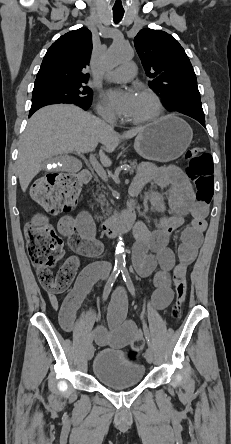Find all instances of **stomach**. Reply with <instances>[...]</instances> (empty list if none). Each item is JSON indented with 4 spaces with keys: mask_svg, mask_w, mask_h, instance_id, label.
<instances>
[{
    "mask_svg": "<svg viewBox=\"0 0 231 444\" xmlns=\"http://www.w3.org/2000/svg\"><path fill=\"white\" fill-rule=\"evenodd\" d=\"M192 137V129L183 119L168 115L145 126L135 138L134 149L145 159L169 162L187 150Z\"/></svg>",
    "mask_w": 231,
    "mask_h": 444,
    "instance_id": "obj_1",
    "label": "stomach"
}]
</instances>
